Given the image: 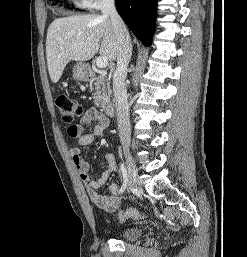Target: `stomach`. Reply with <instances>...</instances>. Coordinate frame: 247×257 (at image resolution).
I'll return each instance as SVG.
<instances>
[{"label": "stomach", "mask_w": 247, "mask_h": 257, "mask_svg": "<svg viewBox=\"0 0 247 257\" xmlns=\"http://www.w3.org/2000/svg\"><path fill=\"white\" fill-rule=\"evenodd\" d=\"M88 66L82 62L77 63L73 68V76L78 81H86L88 79Z\"/></svg>", "instance_id": "1"}]
</instances>
